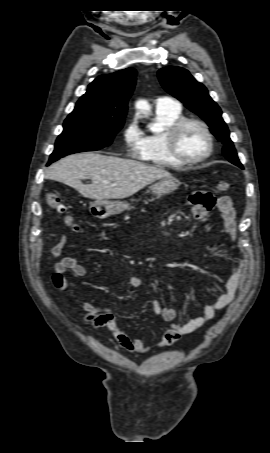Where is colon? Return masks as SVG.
I'll use <instances>...</instances> for the list:
<instances>
[{
	"label": "colon",
	"mask_w": 270,
	"mask_h": 453,
	"mask_svg": "<svg viewBox=\"0 0 270 453\" xmlns=\"http://www.w3.org/2000/svg\"><path fill=\"white\" fill-rule=\"evenodd\" d=\"M230 184L226 181H220L216 185V192L219 194L225 193L229 191ZM195 200L199 202L201 205H204L206 209L210 210L215 205V198L206 192H197L194 194ZM46 202L47 204L58 213L63 214V221L64 223L72 228L73 230L79 229V226L75 222L74 218L68 214H65L66 208L62 202V199L59 195L55 193H49L46 195ZM53 283L58 288L61 283V277L59 275L53 276Z\"/></svg>",
	"instance_id": "colon-1"
}]
</instances>
